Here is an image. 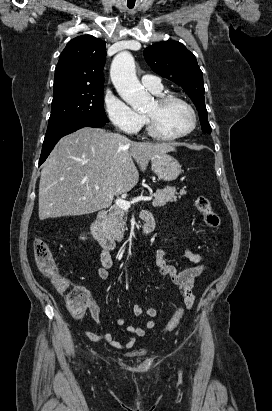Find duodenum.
Segmentation results:
<instances>
[{
  "mask_svg": "<svg viewBox=\"0 0 272 411\" xmlns=\"http://www.w3.org/2000/svg\"><path fill=\"white\" fill-rule=\"evenodd\" d=\"M107 216L105 210L99 212L96 218L92 221L90 229L93 237L101 245L104 250L111 251L116 247V243L112 235L104 228V220ZM155 222L152 216H148L145 219L142 227L143 234H149L154 230Z\"/></svg>",
  "mask_w": 272,
  "mask_h": 411,
  "instance_id": "obj_1",
  "label": "duodenum"
}]
</instances>
